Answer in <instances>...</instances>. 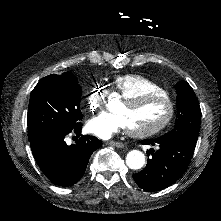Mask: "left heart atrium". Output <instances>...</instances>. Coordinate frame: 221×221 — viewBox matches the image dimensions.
I'll return each instance as SVG.
<instances>
[{"mask_svg": "<svg viewBox=\"0 0 221 221\" xmlns=\"http://www.w3.org/2000/svg\"><path fill=\"white\" fill-rule=\"evenodd\" d=\"M88 130L102 138L118 135L123 128L121 117L112 111L102 112L97 118L88 121Z\"/></svg>", "mask_w": 221, "mask_h": 221, "instance_id": "1", "label": "left heart atrium"}]
</instances>
